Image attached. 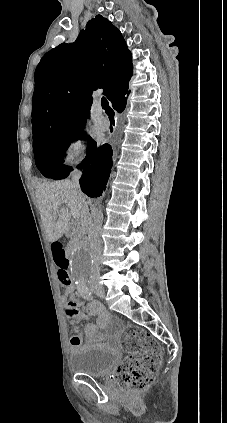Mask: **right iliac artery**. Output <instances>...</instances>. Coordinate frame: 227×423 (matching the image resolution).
I'll list each match as a JSON object with an SVG mask.
<instances>
[{
    "label": "right iliac artery",
    "mask_w": 227,
    "mask_h": 423,
    "mask_svg": "<svg viewBox=\"0 0 227 423\" xmlns=\"http://www.w3.org/2000/svg\"><path fill=\"white\" fill-rule=\"evenodd\" d=\"M79 292L81 293L82 297L88 300L92 299V293L87 285L82 284L78 287Z\"/></svg>",
    "instance_id": "right-iliac-artery-1"
}]
</instances>
